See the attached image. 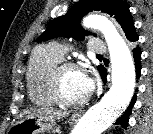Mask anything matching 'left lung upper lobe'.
Listing matches in <instances>:
<instances>
[{"mask_svg":"<svg viewBox=\"0 0 153 134\" xmlns=\"http://www.w3.org/2000/svg\"><path fill=\"white\" fill-rule=\"evenodd\" d=\"M93 10L102 11L113 16L121 25L129 41L135 42L138 40L127 3L121 0H81L65 15L52 20L46 30L36 39V42L61 36L83 40L84 36L89 33L81 28L80 21L84 15ZM97 68L100 71L102 66Z\"/></svg>","mask_w":153,"mask_h":134,"instance_id":"left-lung-upper-lobe-1","label":"left lung upper lobe"}]
</instances>
